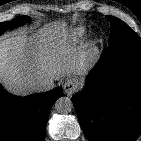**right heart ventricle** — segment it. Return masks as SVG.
I'll list each match as a JSON object with an SVG mask.
<instances>
[{
    "instance_id": "e07e8e85",
    "label": "right heart ventricle",
    "mask_w": 141,
    "mask_h": 141,
    "mask_svg": "<svg viewBox=\"0 0 141 141\" xmlns=\"http://www.w3.org/2000/svg\"><path fill=\"white\" fill-rule=\"evenodd\" d=\"M86 30L83 27L76 28L71 36H70V43L71 44H78L85 39Z\"/></svg>"
}]
</instances>
